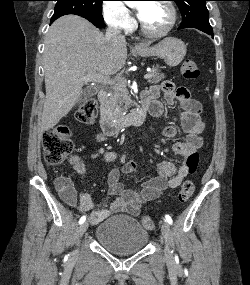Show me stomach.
I'll return each mask as SVG.
<instances>
[{
    "mask_svg": "<svg viewBox=\"0 0 250 285\" xmlns=\"http://www.w3.org/2000/svg\"><path fill=\"white\" fill-rule=\"evenodd\" d=\"M135 53L141 57H160L169 67H176L186 55V45L180 39L167 37L155 46L144 45Z\"/></svg>",
    "mask_w": 250,
    "mask_h": 285,
    "instance_id": "1",
    "label": "stomach"
}]
</instances>
